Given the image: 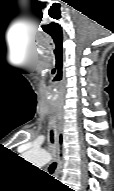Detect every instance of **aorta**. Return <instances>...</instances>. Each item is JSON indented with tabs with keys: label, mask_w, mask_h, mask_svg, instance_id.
Here are the masks:
<instances>
[{
	"label": "aorta",
	"mask_w": 114,
	"mask_h": 191,
	"mask_svg": "<svg viewBox=\"0 0 114 191\" xmlns=\"http://www.w3.org/2000/svg\"><path fill=\"white\" fill-rule=\"evenodd\" d=\"M24 158L36 166H43L50 160V155L43 150H30L25 153Z\"/></svg>",
	"instance_id": "aorta-1"
}]
</instances>
